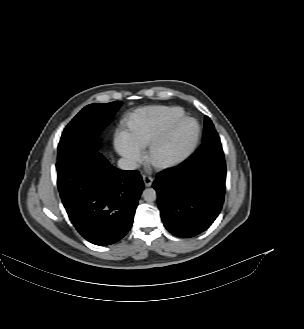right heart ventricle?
Returning <instances> with one entry per match:
<instances>
[{
	"label": "right heart ventricle",
	"instance_id": "1",
	"mask_svg": "<svg viewBox=\"0 0 304 329\" xmlns=\"http://www.w3.org/2000/svg\"><path fill=\"white\" fill-rule=\"evenodd\" d=\"M185 111L177 106H155L134 113L128 122L129 133L141 148H147L160 137Z\"/></svg>",
	"mask_w": 304,
	"mask_h": 329
}]
</instances>
